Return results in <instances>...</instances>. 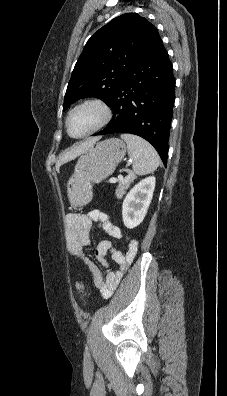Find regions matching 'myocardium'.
Instances as JSON below:
<instances>
[{"label": "myocardium", "instance_id": "myocardium-1", "mask_svg": "<svg viewBox=\"0 0 227 396\" xmlns=\"http://www.w3.org/2000/svg\"><path fill=\"white\" fill-rule=\"evenodd\" d=\"M86 107H95L97 108L100 113H101V117L99 119V121L86 133H84L83 135L80 136H73L70 133V129H69V120L71 118V116L78 110L86 108ZM113 117V111L111 106L102 98L100 97H88L85 98L81 101H79L78 103H76L74 106H72L65 118V128H66V132L67 134L73 138V139H83L86 138L96 132H98L99 130H101L102 128H104L105 126H107L110 121L112 120Z\"/></svg>", "mask_w": 227, "mask_h": 396}]
</instances>
